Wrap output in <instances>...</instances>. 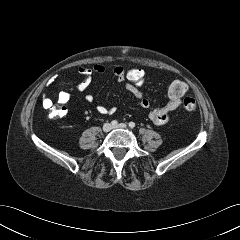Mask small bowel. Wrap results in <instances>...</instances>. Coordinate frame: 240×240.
I'll list each match as a JSON object with an SVG mask.
<instances>
[{"label": "small bowel", "instance_id": "small-bowel-1", "mask_svg": "<svg viewBox=\"0 0 240 240\" xmlns=\"http://www.w3.org/2000/svg\"><path fill=\"white\" fill-rule=\"evenodd\" d=\"M78 74L82 76V80L76 85V90L79 92H85L92 83L94 75H102L105 72V67L101 63H96L93 67L79 66L77 68ZM113 76L116 81L123 86V88L136 98L141 107L149 111V119L155 125H164L169 121V115L171 112L178 109L182 104L180 98H170L169 101L163 106H155L151 100L145 96L140 89L132 86L125 77V68L121 65H116L112 70ZM87 102L94 100V95L87 93L85 95ZM69 101V94L67 92H60L58 94V102L66 104ZM52 100L48 97H43L42 105L44 108L49 109L52 107ZM65 109V107H63ZM96 110L100 114H113L116 112V107H106L104 105H97Z\"/></svg>", "mask_w": 240, "mask_h": 240}]
</instances>
